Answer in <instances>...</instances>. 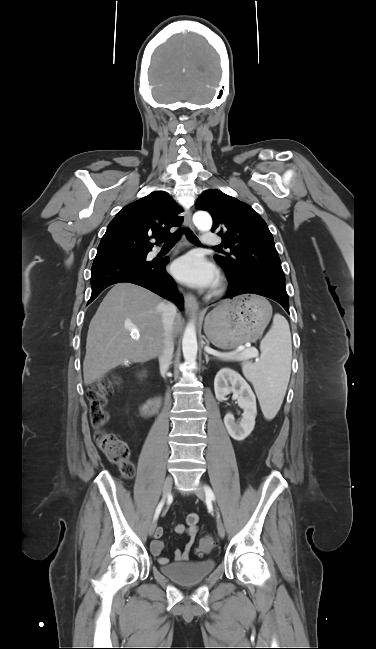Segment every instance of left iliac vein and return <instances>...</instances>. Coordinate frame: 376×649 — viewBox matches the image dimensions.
Returning <instances> with one entry per match:
<instances>
[{
	"mask_svg": "<svg viewBox=\"0 0 376 649\" xmlns=\"http://www.w3.org/2000/svg\"><path fill=\"white\" fill-rule=\"evenodd\" d=\"M195 494L201 500H204L206 498L205 491L203 489H201V488H197L196 491H195ZM217 528H218L219 536L221 538H224V536H225V528H224V525H223V523L221 521L218 523Z\"/></svg>",
	"mask_w": 376,
	"mask_h": 649,
	"instance_id": "obj_1",
	"label": "left iliac vein"
}]
</instances>
